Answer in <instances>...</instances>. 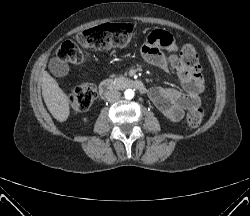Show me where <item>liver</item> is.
Listing matches in <instances>:
<instances>
[{"label": "liver", "instance_id": "obj_1", "mask_svg": "<svg viewBox=\"0 0 250 216\" xmlns=\"http://www.w3.org/2000/svg\"><path fill=\"white\" fill-rule=\"evenodd\" d=\"M41 85L43 99L49 112L57 121H66L70 114L68 96L47 71L41 72Z\"/></svg>", "mask_w": 250, "mask_h": 216}]
</instances>
